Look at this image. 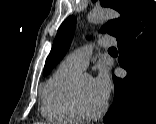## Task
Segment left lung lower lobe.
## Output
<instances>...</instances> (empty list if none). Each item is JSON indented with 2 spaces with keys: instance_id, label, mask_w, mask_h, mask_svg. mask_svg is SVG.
<instances>
[{
  "instance_id": "obj_1",
  "label": "left lung lower lobe",
  "mask_w": 156,
  "mask_h": 124,
  "mask_svg": "<svg viewBox=\"0 0 156 124\" xmlns=\"http://www.w3.org/2000/svg\"><path fill=\"white\" fill-rule=\"evenodd\" d=\"M123 79L113 75L114 100L103 121L156 124V3L148 0L134 23L117 37Z\"/></svg>"
}]
</instances>
